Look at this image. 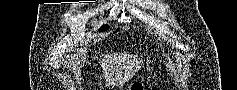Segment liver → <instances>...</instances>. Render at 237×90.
Masks as SVG:
<instances>
[{"label":"liver","mask_w":237,"mask_h":90,"mask_svg":"<svg viewBox=\"0 0 237 90\" xmlns=\"http://www.w3.org/2000/svg\"><path fill=\"white\" fill-rule=\"evenodd\" d=\"M104 64H106V62H108V60H103Z\"/></svg>","instance_id":"obj_1"}]
</instances>
